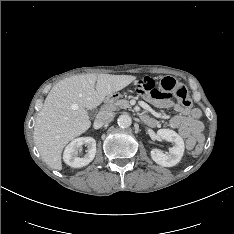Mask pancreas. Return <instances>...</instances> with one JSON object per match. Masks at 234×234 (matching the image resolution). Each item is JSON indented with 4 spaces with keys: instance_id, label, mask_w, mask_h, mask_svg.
I'll list each match as a JSON object with an SVG mask.
<instances>
[{
    "instance_id": "pancreas-1",
    "label": "pancreas",
    "mask_w": 234,
    "mask_h": 234,
    "mask_svg": "<svg viewBox=\"0 0 234 234\" xmlns=\"http://www.w3.org/2000/svg\"><path fill=\"white\" fill-rule=\"evenodd\" d=\"M130 108L131 105L129 104V101L127 99H120L116 102H106V104L104 105V109L111 111Z\"/></svg>"
}]
</instances>
